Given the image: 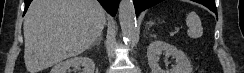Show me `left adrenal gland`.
Wrapping results in <instances>:
<instances>
[{
	"instance_id": "1",
	"label": "left adrenal gland",
	"mask_w": 244,
	"mask_h": 73,
	"mask_svg": "<svg viewBox=\"0 0 244 73\" xmlns=\"http://www.w3.org/2000/svg\"><path fill=\"white\" fill-rule=\"evenodd\" d=\"M151 37H155V35H150Z\"/></svg>"
}]
</instances>
